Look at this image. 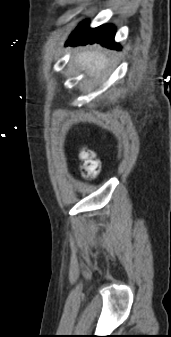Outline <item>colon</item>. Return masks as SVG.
Here are the masks:
<instances>
[{
	"instance_id": "colon-1",
	"label": "colon",
	"mask_w": 171,
	"mask_h": 337,
	"mask_svg": "<svg viewBox=\"0 0 171 337\" xmlns=\"http://www.w3.org/2000/svg\"><path fill=\"white\" fill-rule=\"evenodd\" d=\"M79 158L82 161V169L88 176H95L100 170V161L94 152L87 148L79 150Z\"/></svg>"
}]
</instances>
